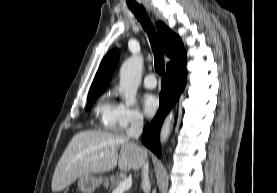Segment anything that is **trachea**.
Segmentation results:
<instances>
[{
	"instance_id": "3493384b",
	"label": "trachea",
	"mask_w": 277,
	"mask_h": 193,
	"mask_svg": "<svg viewBox=\"0 0 277 193\" xmlns=\"http://www.w3.org/2000/svg\"><path fill=\"white\" fill-rule=\"evenodd\" d=\"M130 10L134 13L135 17L140 21L142 27L147 32L149 41L154 54L155 70L158 74H163L165 70L164 54L162 45L156 34L155 28L152 25L146 10L140 5H129Z\"/></svg>"
}]
</instances>
